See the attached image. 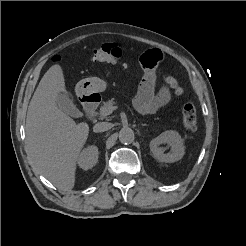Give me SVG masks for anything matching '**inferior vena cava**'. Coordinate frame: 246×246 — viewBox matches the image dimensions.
<instances>
[{"mask_svg": "<svg viewBox=\"0 0 246 246\" xmlns=\"http://www.w3.org/2000/svg\"><path fill=\"white\" fill-rule=\"evenodd\" d=\"M112 124L108 123V122H99L97 124L94 125L93 127V131L95 133H99V132H104L107 131L109 129H111Z\"/></svg>", "mask_w": 246, "mask_h": 246, "instance_id": "602c4592", "label": "inferior vena cava"}]
</instances>
